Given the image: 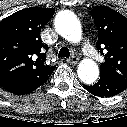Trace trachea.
Returning a JSON list of instances; mask_svg holds the SVG:
<instances>
[{"mask_svg":"<svg viewBox=\"0 0 127 127\" xmlns=\"http://www.w3.org/2000/svg\"><path fill=\"white\" fill-rule=\"evenodd\" d=\"M60 57H66L69 58L70 57V51L67 47H62L58 53V58Z\"/></svg>","mask_w":127,"mask_h":127,"instance_id":"obj_1","label":"trachea"}]
</instances>
